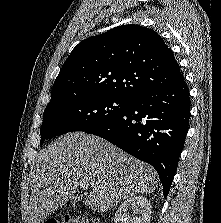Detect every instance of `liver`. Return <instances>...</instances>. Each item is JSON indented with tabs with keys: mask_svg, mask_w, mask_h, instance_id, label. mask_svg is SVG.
<instances>
[{
	"mask_svg": "<svg viewBox=\"0 0 221 223\" xmlns=\"http://www.w3.org/2000/svg\"><path fill=\"white\" fill-rule=\"evenodd\" d=\"M81 182L92 192L84 204L105 212L130 196L153 192L157 173L106 140L84 132L60 136L37 156L28 223H41L71 200Z\"/></svg>",
	"mask_w": 221,
	"mask_h": 223,
	"instance_id": "liver-1",
	"label": "liver"
}]
</instances>
